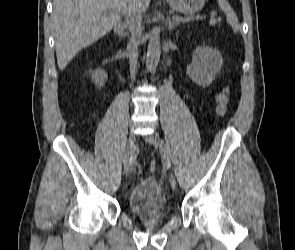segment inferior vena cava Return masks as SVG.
<instances>
[{
    "mask_svg": "<svg viewBox=\"0 0 295 250\" xmlns=\"http://www.w3.org/2000/svg\"><path fill=\"white\" fill-rule=\"evenodd\" d=\"M125 15L126 26L131 32L130 43L128 45V55L131 76L134 78L137 71L138 47L140 45L143 30L141 11L137 7L136 0H129Z\"/></svg>",
    "mask_w": 295,
    "mask_h": 250,
    "instance_id": "1",
    "label": "inferior vena cava"
}]
</instances>
